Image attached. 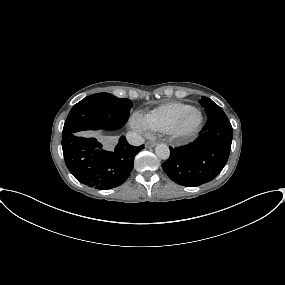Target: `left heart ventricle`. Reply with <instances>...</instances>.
I'll use <instances>...</instances> for the list:
<instances>
[{"mask_svg": "<svg viewBox=\"0 0 285 285\" xmlns=\"http://www.w3.org/2000/svg\"><path fill=\"white\" fill-rule=\"evenodd\" d=\"M197 120H198L197 113L195 112L190 113L186 122V127L188 128L193 127L197 123Z\"/></svg>", "mask_w": 285, "mask_h": 285, "instance_id": "1", "label": "left heart ventricle"}]
</instances>
